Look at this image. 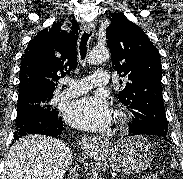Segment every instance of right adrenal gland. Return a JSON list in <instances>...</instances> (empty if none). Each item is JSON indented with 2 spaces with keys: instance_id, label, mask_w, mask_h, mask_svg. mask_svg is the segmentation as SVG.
<instances>
[{
  "instance_id": "2a0ac1e0",
  "label": "right adrenal gland",
  "mask_w": 183,
  "mask_h": 179,
  "mask_svg": "<svg viewBox=\"0 0 183 179\" xmlns=\"http://www.w3.org/2000/svg\"><path fill=\"white\" fill-rule=\"evenodd\" d=\"M69 175L72 177V179H77V175L75 174V169L73 167H71Z\"/></svg>"
}]
</instances>
